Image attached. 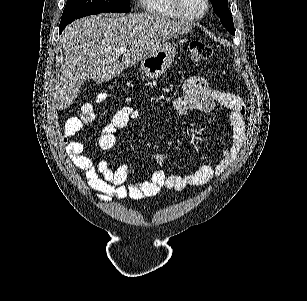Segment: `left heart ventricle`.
I'll list each match as a JSON object with an SVG mask.
<instances>
[{
	"mask_svg": "<svg viewBox=\"0 0 307 301\" xmlns=\"http://www.w3.org/2000/svg\"><path fill=\"white\" fill-rule=\"evenodd\" d=\"M180 2L183 7L182 13H190V11H198L199 9V0H184Z\"/></svg>",
	"mask_w": 307,
	"mask_h": 301,
	"instance_id": "1",
	"label": "left heart ventricle"
}]
</instances>
